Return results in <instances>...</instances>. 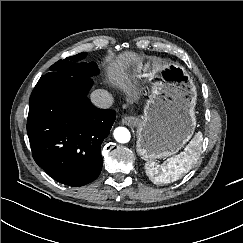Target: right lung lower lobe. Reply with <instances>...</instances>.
Instances as JSON below:
<instances>
[{
  "instance_id": "right-lung-lower-lobe-1",
  "label": "right lung lower lobe",
  "mask_w": 243,
  "mask_h": 243,
  "mask_svg": "<svg viewBox=\"0 0 243 243\" xmlns=\"http://www.w3.org/2000/svg\"><path fill=\"white\" fill-rule=\"evenodd\" d=\"M91 86L90 77H41L29 102L27 134L35 162L74 187L100 174V146L116 119L115 111L91 104Z\"/></svg>"
}]
</instances>
